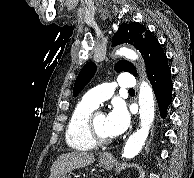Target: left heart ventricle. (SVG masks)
Here are the masks:
<instances>
[{"mask_svg": "<svg viewBox=\"0 0 194 178\" xmlns=\"http://www.w3.org/2000/svg\"><path fill=\"white\" fill-rule=\"evenodd\" d=\"M106 115L104 113H99L95 116V126L98 132L105 137H109L105 129Z\"/></svg>", "mask_w": 194, "mask_h": 178, "instance_id": "obj_1", "label": "left heart ventricle"}]
</instances>
